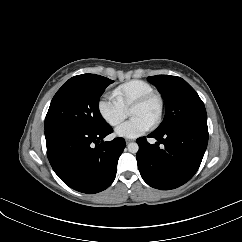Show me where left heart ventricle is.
<instances>
[{"label": "left heart ventricle", "instance_id": "1", "mask_svg": "<svg viewBox=\"0 0 242 242\" xmlns=\"http://www.w3.org/2000/svg\"><path fill=\"white\" fill-rule=\"evenodd\" d=\"M159 105L157 100H152L144 106L130 109V116L139 117L152 124L158 115Z\"/></svg>", "mask_w": 242, "mask_h": 242}]
</instances>
